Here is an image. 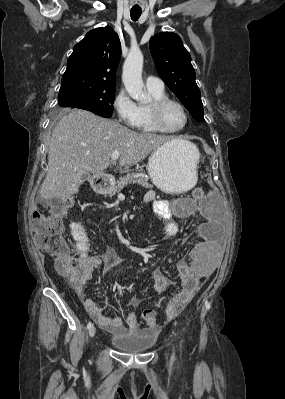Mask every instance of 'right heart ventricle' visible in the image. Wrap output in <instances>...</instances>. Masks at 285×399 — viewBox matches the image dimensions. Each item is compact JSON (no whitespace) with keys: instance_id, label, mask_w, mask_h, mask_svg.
<instances>
[{"instance_id":"1","label":"right heart ventricle","mask_w":285,"mask_h":399,"mask_svg":"<svg viewBox=\"0 0 285 399\" xmlns=\"http://www.w3.org/2000/svg\"><path fill=\"white\" fill-rule=\"evenodd\" d=\"M152 101L167 97L164 88L162 89H148ZM136 128L143 132L149 133H166L155 127L152 122L149 105H139L137 106V124Z\"/></svg>"}]
</instances>
